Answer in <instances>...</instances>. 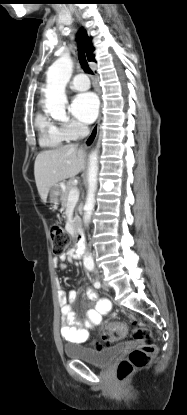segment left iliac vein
Segmentation results:
<instances>
[{
    "mask_svg": "<svg viewBox=\"0 0 187 415\" xmlns=\"http://www.w3.org/2000/svg\"><path fill=\"white\" fill-rule=\"evenodd\" d=\"M102 288L104 290H108L109 289L108 285L106 283H104V282L102 283Z\"/></svg>",
    "mask_w": 187,
    "mask_h": 415,
    "instance_id": "1",
    "label": "left iliac vein"
}]
</instances>
